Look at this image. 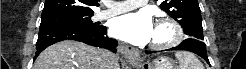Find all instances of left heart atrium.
I'll return each mask as SVG.
<instances>
[{
	"instance_id": "1",
	"label": "left heart atrium",
	"mask_w": 246,
	"mask_h": 69,
	"mask_svg": "<svg viewBox=\"0 0 246 69\" xmlns=\"http://www.w3.org/2000/svg\"><path fill=\"white\" fill-rule=\"evenodd\" d=\"M154 30L152 17L147 11L127 13L115 18L111 24V33L116 38L135 45L150 42Z\"/></svg>"
}]
</instances>
